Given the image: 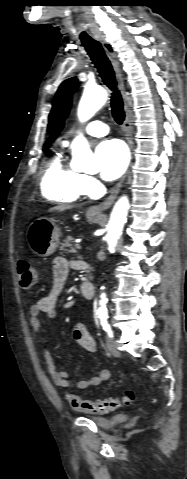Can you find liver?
I'll return each mask as SVG.
<instances>
[{"label":"liver","mask_w":187,"mask_h":479,"mask_svg":"<svg viewBox=\"0 0 187 479\" xmlns=\"http://www.w3.org/2000/svg\"><path fill=\"white\" fill-rule=\"evenodd\" d=\"M70 208H71L70 205L61 204V205L55 206V207H53V208H50V209H49V212H53V211H64V210L70 209Z\"/></svg>","instance_id":"obj_1"}]
</instances>
